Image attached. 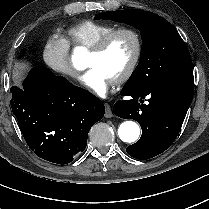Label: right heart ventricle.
Wrapping results in <instances>:
<instances>
[{
  "label": "right heart ventricle",
  "instance_id": "obj_1",
  "mask_svg": "<svg viewBox=\"0 0 209 209\" xmlns=\"http://www.w3.org/2000/svg\"><path fill=\"white\" fill-rule=\"evenodd\" d=\"M116 26L108 22L84 20L69 26L65 31L66 39L75 47L90 49Z\"/></svg>",
  "mask_w": 209,
  "mask_h": 209
}]
</instances>
